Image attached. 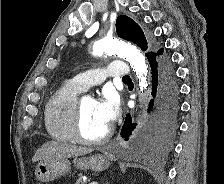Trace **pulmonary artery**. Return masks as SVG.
<instances>
[{"instance_id":"1","label":"pulmonary artery","mask_w":224,"mask_h":184,"mask_svg":"<svg viewBox=\"0 0 224 184\" xmlns=\"http://www.w3.org/2000/svg\"><path fill=\"white\" fill-rule=\"evenodd\" d=\"M129 67L122 61H113L105 68L88 70L72 78V83L81 91L101 84L110 77L124 78L130 76Z\"/></svg>"}]
</instances>
